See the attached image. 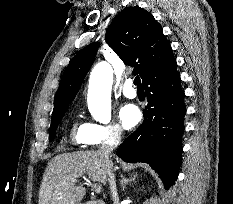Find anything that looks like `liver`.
Returning <instances> with one entry per match:
<instances>
[{
  "mask_svg": "<svg viewBox=\"0 0 233 204\" xmlns=\"http://www.w3.org/2000/svg\"><path fill=\"white\" fill-rule=\"evenodd\" d=\"M113 162L100 151L63 153L53 157L46 167L39 192V204H80L85 188L76 185L85 174L106 185L107 170Z\"/></svg>",
  "mask_w": 233,
  "mask_h": 204,
  "instance_id": "1",
  "label": "liver"
}]
</instances>
